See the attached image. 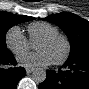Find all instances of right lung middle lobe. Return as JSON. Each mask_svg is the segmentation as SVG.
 I'll use <instances>...</instances> for the list:
<instances>
[{
  "label": "right lung middle lobe",
  "mask_w": 89,
  "mask_h": 89,
  "mask_svg": "<svg viewBox=\"0 0 89 89\" xmlns=\"http://www.w3.org/2000/svg\"><path fill=\"white\" fill-rule=\"evenodd\" d=\"M33 17L24 15H13L8 12H0V55H4L9 51L6 46V32L14 25L33 20Z\"/></svg>",
  "instance_id": "right-lung-middle-lobe-1"
}]
</instances>
